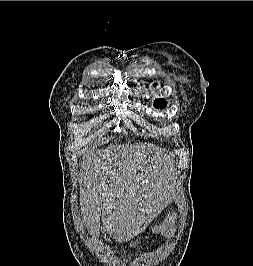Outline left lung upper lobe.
I'll list each match as a JSON object with an SVG mask.
<instances>
[{
  "label": "left lung upper lobe",
  "mask_w": 253,
  "mask_h": 266,
  "mask_svg": "<svg viewBox=\"0 0 253 266\" xmlns=\"http://www.w3.org/2000/svg\"><path fill=\"white\" fill-rule=\"evenodd\" d=\"M166 105H167V103H166V101H165V99H156L155 101H154V107L155 108H164V107H166Z\"/></svg>",
  "instance_id": "left-lung-upper-lobe-1"
}]
</instances>
